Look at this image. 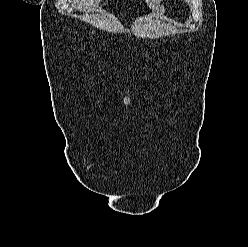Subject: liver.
I'll use <instances>...</instances> for the list:
<instances>
[{
	"instance_id": "1",
	"label": "liver",
	"mask_w": 248,
	"mask_h": 247,
	"mask_svg": "<svg viewBox=\"0 0 248 247\" xmlns=\"http://www.w3.org/2000/svg\"><path fill=\"white\" fill-rule=\"evenodd\" d=\"M161 0H145L147 5L155 11L157 9V6L159 5ZM101 0H74V3L76 4V8L80 11H93L95 10Z\"/></svg>"
}]
</instances>
